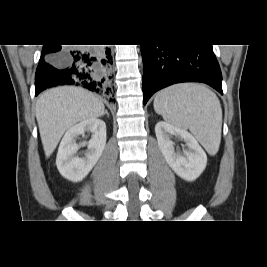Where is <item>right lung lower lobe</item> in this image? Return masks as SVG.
Listing matches in <instances>:
<instances>
[{
  "label": "right lung lower lobe",
  "mask_w": 267,
  "mask_h": 267,
  "mask_svg": "<svg viewBox=\"0 0 267 267\" xmlns=\"http://www.w3.org/2000/svg\"><path fill=\"white\" fill-rule=\"evenodd\" d=\"M109 48L71 49L44 45L35 75L36 95L46 88L76 85L112 100Z\"/></svg>",
  "instance_id": "1"
}]
</instances>
